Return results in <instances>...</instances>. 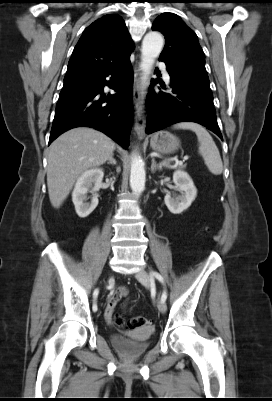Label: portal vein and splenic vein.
<instances>
[{"mask_svg":"<svg viewBox=\"0 0 272 401\" xmlns=\"http://www.w3.org/2000/svg\"><path fill=\"white\" fill-rule=\"evenodd\" d=\"M189 157L186 155V156H184V160H187ZM170 161H163L161 164L162 165H167L168 163H169ZM179 163H181V162H179V161H177L176 160V164H179Z\"/></svg>","mask_w":272,"mask_h":401,"instance_id":"obj_1","label":"portal vein and splenic vein"}]
</instances>
